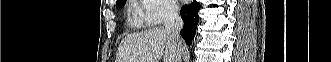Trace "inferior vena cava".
I'll list each match as a JSON object with an SVG mask.
<instances>
[{
  "instance_id": "obj_1",
  "label": "inferior vena cava",
  "mask_w": 331,
  "mask_h": 62,
  "mask_svg": "<svg viewBox=\"0 0 331 62\" xmlns=\"http://www.w3.org/2000/svg\"><path fill=\"white\" fill-rule=\"evenodd\" d=\"M164 27L171 35V38L176 46V61L181 62L182 41L180 38V30L183 28V20L179 15L177 5L171 4L166 12L164 19Z\"/></svg>"
}]
</instances>
